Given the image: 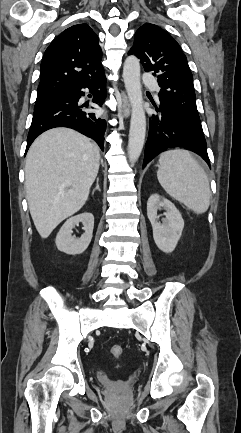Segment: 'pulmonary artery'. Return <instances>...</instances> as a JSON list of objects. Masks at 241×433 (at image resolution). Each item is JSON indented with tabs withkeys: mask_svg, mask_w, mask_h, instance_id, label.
<instances>
[{
	"mask_svg": "<svg viewBox=\"0 0 241 433\" xmlns=\"http://www.w3.org/2000/svg\"><path fill=\"white\" fill-rule=\"evenodd\" d=\"M142 81L145 84H153L155 82V79L152 75L146 73L144 74Z\"/></svg>",
	"mask_w": 241,
	"mask_h": 433,
	"instance_id": "1",
	"label": "pulmonary artery"
}]
</instances>
